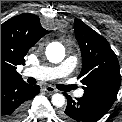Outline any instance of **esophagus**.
Instances as JSON below:
<instances>
[{
  "mask_svg": "<svg viewBox=\"0 0 122 122\" xmlns=\"http://www.w3.org/2000/svg\"><path fill=\"white\" fill-rule=\"evenodd\" d=\"M44 90H45L47 93H49V94H54V93L57 92V90H56L54 87L50 86V85L45 86V87H44Z\"/></svg>",
  "mask_w": 122,
  "mask_h": 122,
  "instance_id": "esophagus-1",
  "label": "esophagus"
}]
</instances>
